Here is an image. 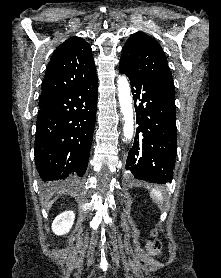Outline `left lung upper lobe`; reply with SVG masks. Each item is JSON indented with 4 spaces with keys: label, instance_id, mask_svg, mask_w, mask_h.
Masks as SVG:
<instances>
[{
    "label": "left lung upper lobe",
    "instance_id": "1",
    "mask_svg": "<svg viewBox=\"0 0 221 278\" xmlns=\"http://www.w3.org/2000/svg\"><path fill=\"white\" fill-rule=\"evenodd\" d=\"M119 69L129 75L163 82L174 89L166 56L160 44L147 34H132L124 47Z\"/></svg>",
    "mask_w": 221,
    "mask_h": 278
}]
</instances>
